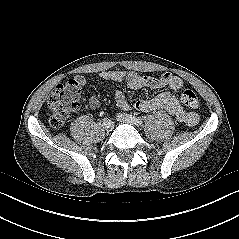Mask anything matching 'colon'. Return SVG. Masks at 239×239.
<instances>
[{"label":"colon","mask_w":239,"mask_h":239,"mask_svg":"<svg viewBox=\"0 0 239 239\" xmlns=\"http://www.w3.org/2000/svg\"><path fill=\"white\" fill-rule=\"evenodd\" d=\"M82 85L75 79L58 85L49 95L47 107L49 110V122L53 128H60L69 115L80 105ZM182 103L191 109L199 107V98L192 89H184L181 92Z\"/></svg>","instance_id":"obj_1"}]
</instances>
